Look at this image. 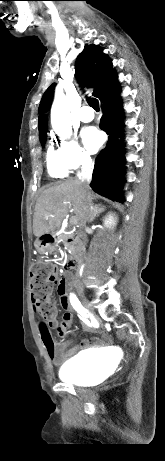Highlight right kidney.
<instances>
[{"label": "right kidney", "instance_id": "obj_1", "mask_svg": "<svg viewBox=\"0 0 165 461\" xmlns=\"http://www.w3.org/2000/svg\"><path fill=\"white\" fill-rule=\"evenodd\" d=\"M116 224V217L114 214H109L104 219V226L107 228H113Z\"/></svg>", "mask_w": 165, "mask_h": 461}]
</instances>
